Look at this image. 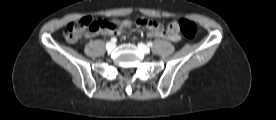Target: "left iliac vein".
Instances as JSON below:
<instances>
[{"label":"left iliac vein","mask_w":276,"mask_h":120,"mask_svg":"<svg viewBox=\"0 0 276 120\" xmlns=\"http://www.w3.org/2000/svg\"><path fill=\"white\" fill-rule=\"evenodd\" d=\"M138 47L144 54H149L150 53V48L148 46H146L145 44L139 43Z\"/></svg>","instance_id":"left-iliac-vein-1"}]
</instances>
